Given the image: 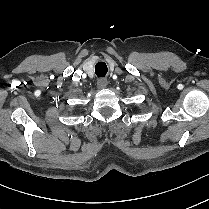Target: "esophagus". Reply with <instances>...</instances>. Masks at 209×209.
Masks as SVG:
<instances>
[{"label": "esophagus", "mask_w": 209, "mask_h": 209, "mask_svg": "<svg viewBox=\"0 0 209 209\" xmlns=\"http://www.w3.org/2000/svg\"><path fill=\"white\" fill-rule=\"evenodd\" d=\"M108 84V80L105 79V78H100L97 82V87L98 89H103V88H106Z\"/></svg>", "instance_id": "1"}]
</instances>
